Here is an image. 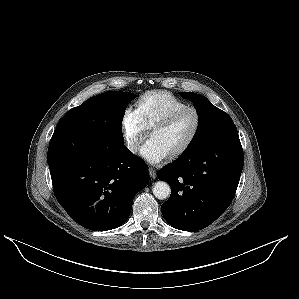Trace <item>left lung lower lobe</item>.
I'll list each match as a JSON object with an SVG mask.
<instances>
[{"instance_id":"0a47b994","label":"left lung lower lobe","mask_w":299,"mask_h":299,"mask_svg":"<svg viewBox=\"0 0 299 299\" xmlns=\"http://www.w3.org/2000/svg\"><path fill=\"white\" fill-rule=\"evenodd\" d=\"M244 156L236 126L214 136L204 146L184 152L158 171L171 186L161 211L183 231H198L213 223L230 205L243 169Z\"/></svg>"}]
</instances>
